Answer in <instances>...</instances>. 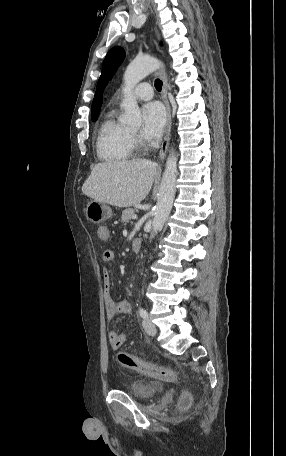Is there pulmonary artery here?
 <instances>
[{
  "instance_id": "pulmonary-artery-1",
  "label": "pulmonary artery",
  "mask_w": 286,
  "mask_h": 456,
  "mask_svg": "<svg viewBox=\"0 0 286 456\" xmlns=\"http://www.w3.org/2000/svg\"><path fill=\"white\" fill-rule=\"evenodd\" d=\"M134 97L137 100H150L153 97V89L148 83H141L133 90Z\"/></svg>"
}]
</instances>
